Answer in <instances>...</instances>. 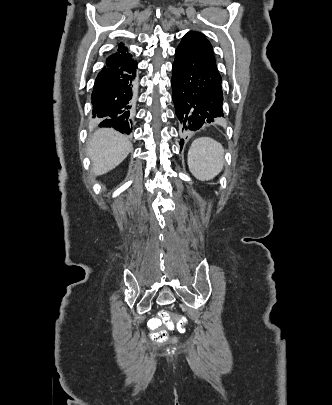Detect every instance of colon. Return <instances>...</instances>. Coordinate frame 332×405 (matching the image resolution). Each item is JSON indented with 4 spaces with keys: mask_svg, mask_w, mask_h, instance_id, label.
<instances>
[{
    "mask_svg": "<svg viewBox=\"0 0 332 405\" xmlns=\"http://www.w3.org/2000/svg\"><path fill=\"white\" fill-rule=\"evenodd\" d=\"M192 317L190 315H177L163 312L161 315H152L151 323L154 325L152 337L156 341H162L166 338L167 331L177 327L184 331V325L190 324Z\"/></svg>",
    "mask_w": 332,
    "mask_h": 405,
    "instance_id": "5ec220e1",
    "label": "colon"
}]
</instances>
